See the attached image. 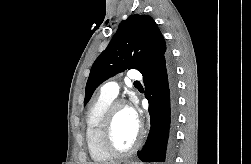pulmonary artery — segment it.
Masks as SVG:
<instances>
[{
	"instance_id": "e3ab8cb5",
	"label": "pulmonary artery",
	"mask_w": 251,
	"mask_h": 164,
	"mask_svg": "<svg viewBox=\"0 0 251 164\" xmlns=\"http://www.w3.org/2000/svg\"><path fill=\"white\" fill-rule=\"evenodd\" d=\"M128 78L133 81H139L142 79V75L137 70H130L128 72ZM119 92V85L116 81H110L103 85L101 94L115 98Z\"/></svg>"
}]
</instances>
